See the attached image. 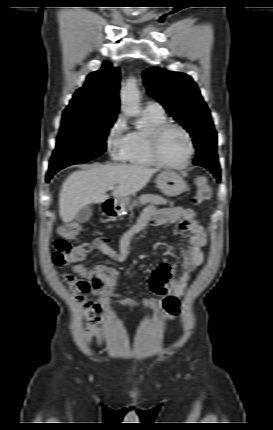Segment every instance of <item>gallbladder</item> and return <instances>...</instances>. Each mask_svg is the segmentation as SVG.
I'll return each mask as SVG.
<instances>
[{"mask_svg":"<svg viewBox=\"0 0 273 430\" xmlns=\"http://www.w3.org/2000/svg\"><path fill=\"white\" fill-rule=\"evenodd\" d=\"M92 215V209L89 206L82 208L76 215V220L78 222L84 223L89 220Z\"/></svg>","mask_w":273,"mask_h":430,"instance_id":"1","label":"gallbladder"}]
</instances>
